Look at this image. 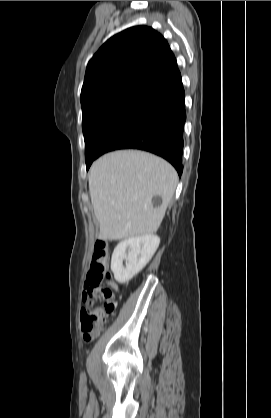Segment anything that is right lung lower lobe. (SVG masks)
Listing matches in <instances>:
<instances>
[{
    "label": "right lung lower lobe",
    "instance_id": "1",
    "mask_svg": "<svg viewBox=\"0 0 271 418\" xmlns=\"http://www.w3.org/2000/svg\"><path fill=\"white\" fill-rule=\"evenodd\" d=\"M182 81L140 111L104 144L100 155L117 149H140L169 161L183 172V130L186 120ZM99 155V156H100Z\"/></svg>",
    "mask_w": 271,
    "mask_h": 418
}]
</instances>
